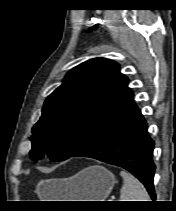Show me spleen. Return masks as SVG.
<instances>
[{
  "mask_svg": "<svg viewBox=\"0 0 176 211\" xmlns=\"http://www.w3.org/2000/svg\"><path fill=\"white\" fill-rule=\"evenodd\" d=\"M124 180L119 201H150L148 192L143 184L129 172H120Z\"/></svg>",
  "mask_w": 176,
  "mask_h": 211,
  "instance_id": "1",
  "label": "spleen"
}]
</instances>
